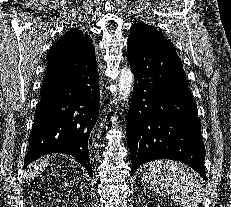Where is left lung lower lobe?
I'll list each match as a JSON object with an SVG mask.
<instances>
[{
    "label": "left lung lower lobe",
    "instance_id": "left-lung-lower-lobe-1",
    "mask_svg": "<svg viewBox=\"0 0 231 207\" xmlns=\"http://www.w3.org/2000/svg\"><path fill=\"white\" fill-rule=\"evenodd\" d=\"M128 60L136 81L126 125L132 175L146 162L172 159L207 180L197 105L176 50L128 46Z\"/></svg>",
    "mask_w": 231,
    "mask_h": 207
}]
</instances>
